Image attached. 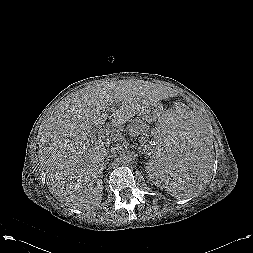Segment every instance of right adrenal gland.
Segmentation results:
<instances>
[{
  "label": "right adrenal gland",
  "mask_w": 253,
  "mask_h": 253,
  "mask_svg": "<svg viewBox=\"0 0 253 253\" xmlns=\"http://www.w3.org/2000/svg\"><path fill=\"white\" fill-rule=\"evenodd\" d=\"M110 157V156H109ZM109 157L106 158V160L104 161V168L106 167V165L109 163Z\"/></svg>",
  "instance_id": "obj_1"
}]
</instances>
